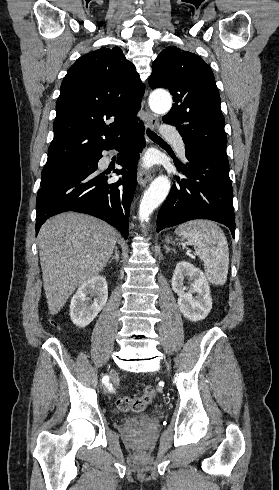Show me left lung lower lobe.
<instances>
[{
  "mask_svg": "<svg viewBox=\"0 0 279 490\" xmlns=\"http://www.w3.org/2000/svg\"><path fill=\"white\" fill-rule=\"evenodd\" d=\"M186 178L177 180L159 211L157 232L194 219L226 225L235 234L233 189L227 155L204 144H186Z\"/></svg>",
  "mask_w": 279,
  "mask_h": 490,
  "instance_id": "0a47b994",
  "label": "left lung lower lobe"
}]
</instances>
